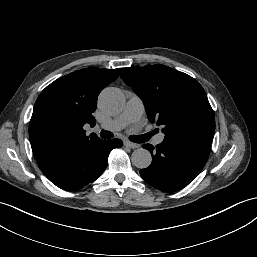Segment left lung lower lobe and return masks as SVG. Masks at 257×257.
Listing matches in <instances>:
<instances>
[{"mask_svg": "<svg viewBox=\"0 0 257 257\" xmlns=\"http://www.w3.org/2000/svg\"><path fill=\"white\" fill-rule=\"evenodd\" d=\"M212 139H164L154 148L144 144L152 155L149 167L140 170L141 177L153 187L175 192L187 186L203 169Z\"/></svg>", "mask_w": 257, "mask_h": 257, "instance_id": "1", "label": "left lung lower lobe"}]
</instances>
